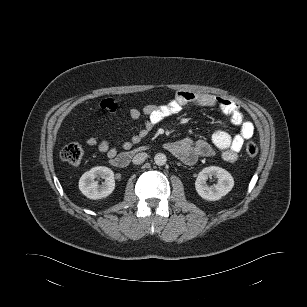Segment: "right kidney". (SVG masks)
<instances>
[{
    "label": "right kidney",
    "mask_w": 307,
    "mask_h": 307,
    "mask_svg": "<svg viewBox=\"0 0 307 307\" xmlns=\"http://www.w3.org/2000/svg\"><path fill=\"white\" fill-rule=\"evenodd\" d=\"M96 178H103L105 182L101 185L95 181ZM79 189L89 199H101L109 196L115 189L113 171L104 166H97L85 172L79 180Z\"/></svg>",
    "instance_id": "obj_1"
}]
</instances>
